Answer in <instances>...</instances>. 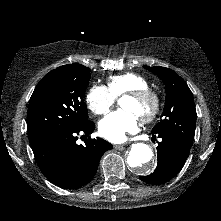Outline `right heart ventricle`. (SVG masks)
<instances>
[{"mask_svg":"<svg viewBox=\"0 0 221 221\" xmlns=\"http://www.w3.org/2000/svg\"><path fill=\"white\" fill-rule=\"evenodd\" d=\"M146 88H149L146 78L133 72L113 75L107 80V89L115 98L131 91Z\"/></svg>","mask_w":221,"mask_h":221,"instance_id":"e07e8e85","label":"right heart ventricle"}]
</instances>
